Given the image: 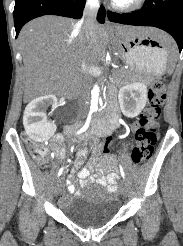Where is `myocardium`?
<instances>
[{
    "instance_id": "1",
    "label": "myocardium",
    "mask_w": 183,
    "mask_h": 246,
    "mask_svg": "<svg viewBox=\"0 0 183 246\" xmlns=\"http://www.w3.org/2000/svg\"><path fill=\"white\" fill-rule=\"evenodd\" d=\"M145 0H130L128 2L112 1V8L119 12H132L142 7Z\"/></svg>"
}]
</instances>
